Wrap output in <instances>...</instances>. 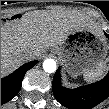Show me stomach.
<instances>
[{
    "mask_svg": "<svg viewBox=\"0 0 109 109\" xmlns=\"http://www.w3.org/2000/svg\"><path fill=\"white\" fill-rule=\"evenodd\" d=\"M51 53L59 58L70 75L76 77L108 62L109 43L104 34L81 27L71 31L62 44L51 49Z\"/></svg>",
    "mask_w": 109,
    "mask_h": 109,
    "instance_id": "0dacf381",
    "label": "stomach"
}]
</instances>
